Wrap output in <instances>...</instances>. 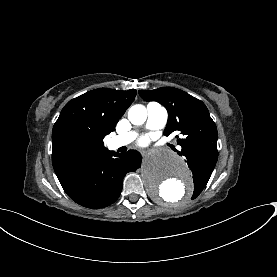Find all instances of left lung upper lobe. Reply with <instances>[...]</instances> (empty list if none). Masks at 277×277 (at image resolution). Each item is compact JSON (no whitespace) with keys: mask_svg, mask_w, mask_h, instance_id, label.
<instances>
[{"mask_svg":"<svg viewBox=\"0 0 277 277\" xmlns=\"http://www.w3.org/2000/svg\"><path fill=\"white\" fill-rule=\"evenodd\" d=\"M139 94L145 101H157L167 109L168 122L164 135L168 136L174 131H179L183 138H179L177 144L182 149L208 142L217 143L216 125L202 101L173 87L139 91ZM211 173L210 170L193 173L194 194L192 199L201 193Z\"/></svg>","mask_w":277,"mask_h":277,"instance_id":"obj_1","label":"left lung upper lobe"}]
</instances>
